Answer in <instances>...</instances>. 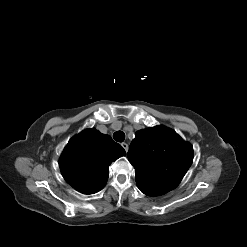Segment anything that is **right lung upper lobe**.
<instances>
[{
    "label": "right lung upper lobe",
    "mask_w": 247,
    "mask_h": 247,
    "mask_svg": "<svg viewBox=\"0 0 247 247\" xmlns=\"http://www.w3.org/2000/svg\"><path fill=\"white\" fill-rule=\"evenodd\" d=\"M126 154L109 135L87 129L64 148L59 166L64 179L83 194L100 191L109 176L110 164Z\"/></svg>",
    "instance_id": "right-lung-upper-lobe-1"
}]
</instances>
